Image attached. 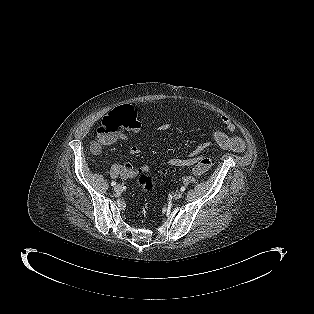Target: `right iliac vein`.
<instances>
[{
    "instance_id": "63e3f726",
    "label": "right iliac vein",
    "mask_w": 314,
    "mask_h": 314,
    "mask_svg": "<svg viewBox=\"0 0 314 314\" xmlns=\"http://www.w3.org/2000/svg\"><path fill=\"white\" fill-rule=\"evenodd\" d=\"M114 191L116 192V193H120V192H122V186L121 185H116L115 187H114Z\"/></svg>"
}]
</instances>
